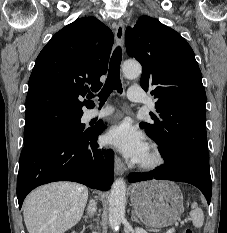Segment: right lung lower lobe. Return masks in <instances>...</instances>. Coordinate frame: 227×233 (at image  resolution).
I'll return each instance as SVG.
<instances>
[{"mask_svg": "<svg viewBox=\"0 0 227 233\" xmlns=\"http://www.w3.org/2000/svg\"><path fill=\"white\" fill-rule=\"evenodd\" d=\"M104 127L103 124L79 135L51 136L24 145L17 178L19 208L31 190L50 182L75 181L109 190L114 178L113 151L97 144Z\"/></svg>", "mask_w": 227, "mask_h": 233, "instance_id": "1", "label": "right lung lower lobe"}]
</instances>
